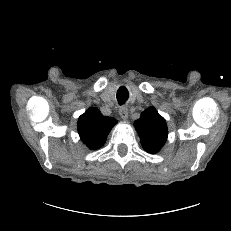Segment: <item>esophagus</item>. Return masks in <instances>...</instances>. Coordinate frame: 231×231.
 Listing matches in <instances>:
<instances>
[{
    "instance_id": "1",
    "label": "esophagus",
    "mask_w": 231,
    "mask_h": 231,
    "mask_svg": "<svg viewBox=\"0 0 231 231\" xmlns=\"http://www.w3.org/2000/svg\"><path fill=\"white\" fill-rule=\"evenodd\" d=\"M119 114L123 120H127L128 118V109L126 107H121L119 109Z\"/></svg>"
}]
</instances>
